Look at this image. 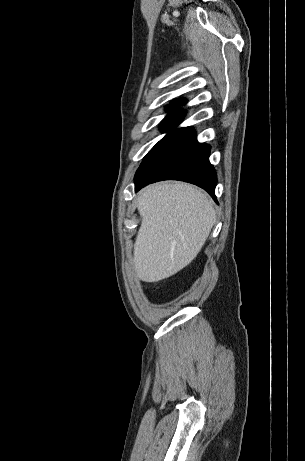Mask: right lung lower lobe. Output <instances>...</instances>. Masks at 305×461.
I'll return each mask as SVG.
<instances>
[{
	"mask_svg": "<svg viewBox=\"0 0 305 461\" xmlns=\"http://www.w3.org/2000/svg\"><path fill=\"white\" fill-rule=\"evenodd\" d=\"M209 154L210 146L197 141L193 127L172 130L142 161L135 174V191L161 180H181L203 188L216 201L217 177Z\"/></svg>",
	"mask_w": 305,
	"mask_h": 461,
	"instance_id": "1",
	"label": "right lung lower lobe"
}]
</instances>
